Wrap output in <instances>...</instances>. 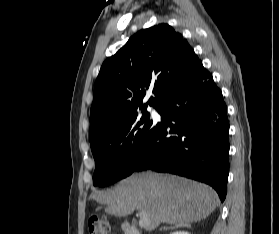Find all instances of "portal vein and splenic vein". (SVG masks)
Masks as SVG:
<instances>
[{
  "mask_svg": "<svg viewBox=\"0 0 279 234\" xmlns=\"http://www.w3.org/2000/svg\"><path fill=\"white\" fill-rule=\"evenodd\" d=\"M139 215H140L139 226L144 228L148 227L149 219L146 216V214L144 212H140Z\"/></svg>",
  "mask_w": 279,
  "mask_h": 234,
  "instance_id": "18ae733b",
  "label": "portal vein and splenic vein"
}]
</instances>
